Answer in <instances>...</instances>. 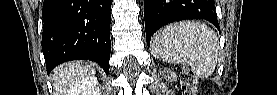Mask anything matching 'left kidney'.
I'll use <instances>...</instances> for the list:
<instances>
[{"mask_svg":"<svg viewBox=\"0 0 277 95\" xmlns=\"http://www.w3.org/2000/svg\"><path fill=\"white\" fill-rule=\"evenodd\" d=\"M164 73H165V75H166V71H165V70L163 71V74H164ZM167 75H168V76H169V75H170V76H173L172 73L169 74L168 72H167Z\"/></svg>","mask_w":277,"mask_h":95,"instance_id":"left-kidney-1","label":"left kidney"}]
</instances>
